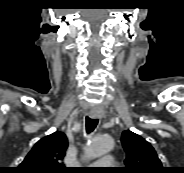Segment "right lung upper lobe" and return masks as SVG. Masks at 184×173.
I'll list each match as a JSON object with an SVG mask.
<instances>
[{
	"label": "right lung upper lobe",
	"instance_id": "cb5924a9",
	"mask_svg": "<svg viewBox=\"0 0 184 173\" xmlns=\"http://www.w3.org/2000/svg\"><path fill=\"white\" fill-rule=\"evenodd\" d=\"M68 147L66 135L54 132L39 140L17 167L19 173H66L63 158Z\"/></svg>",
	"mask_w": 184,
	"mask_h": 173
}]
</instances>
